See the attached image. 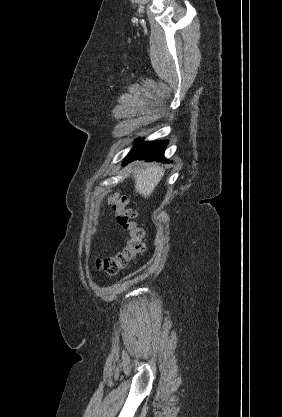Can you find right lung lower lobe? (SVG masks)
Here are the masks:
<instances>
[{"instance_id": "1", "label": "right lung lower lobe", "mask_w": 282, "mask_h": 417, "mask_svg": "<svg viewBox=\"0 0 282 417\" xmlns=\"http://www.w3.org/2000/svg\"><path fill=\"white\" fill-rule=\"evenodd\" d=\"M167 141H154V142H143L140 141L130 153L126 156L123 163L134 160L146 159L148 161H153L155 157L156 161H161L163 163L170 162L164 158V149L166 148Z\"/></svg>"}]
</instances>
